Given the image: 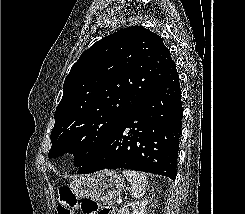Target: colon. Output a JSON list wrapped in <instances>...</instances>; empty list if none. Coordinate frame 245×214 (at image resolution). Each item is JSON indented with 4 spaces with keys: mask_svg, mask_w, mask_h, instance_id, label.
<instances>
[{
    "mask_svg": "<svg viewBox=\"0 0 245 214\" xmlns=\"http://www.w3.org/2000/svg\"><path fill=\"white\" fill-rule=\"evenodd\" d=\"M78 207L77 196L74 192L66 186L59 189V199L57 211L58 214H73ZM80 210L82 214H116V209L111 205H98L92 199H84L80 203Z\"/></svg>",
    "mask_w": 245,
    "mask_h": 214,
    "instance_id": "5ec220e1",
    "label": "colon"
}]
</instances>
